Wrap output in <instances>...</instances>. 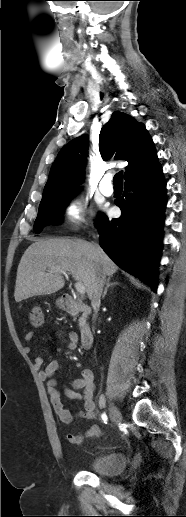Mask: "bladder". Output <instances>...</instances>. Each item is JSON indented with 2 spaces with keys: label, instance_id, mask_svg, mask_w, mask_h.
<instances>
[{
  "label": "bladder",
  "instance_id": "obj_1",
  "mask_svg": "<svg viewBox=\"0 0 186 517\" xmlns=\"http://www.w3.org/2000/svg\"><path fill=\"white\" fill-rule=\"evenodd\" d=\"M127 467V456L124 453H111L98 456L89 463L91 472L103 475L114 476L122 473Z\"/></svg>",
  "mask_w": 186,
  "mask_h": 517
}]
</instances>
